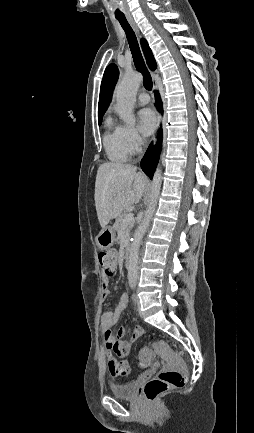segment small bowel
Returning a JSON list of instances; mask_svg holds the SVG:
<instances>
[{"mask_svg": "<svg viewBox=\"0 0 254 433\" xmlns=\"http://www.w3.org/2000/svg\"><path fill=\"white\" fill-rule=\"evenodd\" d=\"M109 281L105 278L103 282V294L108 296ZM127 304V296L123 295L117 307L110 312H106L101 316V325L104 332V345L106 348V362L108 370L113 377H123L130 373L131 366L124 360L132 348V343L137 340L141 335L139 331L141 328H135L129 340H123L127 333L125 328H120L116 332L112 328L118 323Z\"/></svg>", "mask_w": 254, "mask_h": 433, "instance_id": "c3829d8e", "label": "small bowel"}]
</instances>
